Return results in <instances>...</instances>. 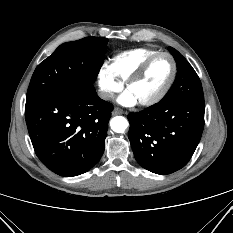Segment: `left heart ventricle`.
<instances>
[{"instance_id": "left-heart-ventricle-1", "label": "left heart ventricle", "mask_w": 233, "mask_h": 233, "mask_svg": "<svg viewBox=\"0 0 233 233\" xmlns=\"http://www.w3.org/2000/svg\"><path fill=\"white\" fill-rule=\"evenodd\" d=\"M172 63L166 56L155 60L144 77L131 85L128 90L138 101L146 100L158 93L168 82L172 74Z\"/></svg>"}]
</instances>
